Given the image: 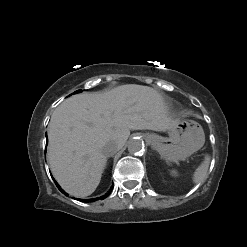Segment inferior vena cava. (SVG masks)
<instances>
[{"label": "inferior vena cava", "mask_w": 247, "mask_h": 247, "mask_svg": "<svg viewBox=\"0 0 247 247\" xmlns=\"http://www.w3.org/2000/svg\"><path fill=\"white\" fill-rule=\"evenodd\" d=\"M120 147L115 142H108L103 147V153L107 156H113L117 151H119Z\"/></svg>", "instance_id": "obj_1"}]
</instances>
